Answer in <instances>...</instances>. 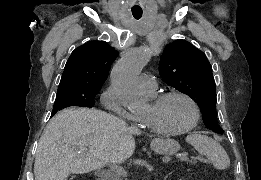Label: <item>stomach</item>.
Segmentation results:
<instances>
[{
    "mask_svg": "<svg viewBox=\"0 0 261 180\" xmlns=\"http://www.w3.org/2000/svg\"><path fill=\"white\" fill-rule=\"evenodd\" d=\"M151 149L160 155H173L180 149L179 143L170 138H156L151 144Z\"/></svg>",
    "mask_w": 261,
    "mask_h": 180,
    "instance_id": "1",
    "label": "stomach"
}]
</instances>
